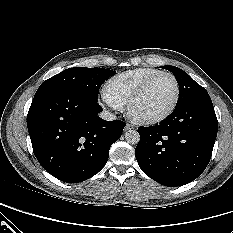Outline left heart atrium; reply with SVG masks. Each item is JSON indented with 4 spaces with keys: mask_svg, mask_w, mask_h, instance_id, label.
Listing matches in <instances>:
<instances>
[{
    "mask_svg": "<svg viewBox=\"0 0 233 233\" xmlns=\"http://www.w3.org/2000/svg\"><path fill=\"white\" fill-rule=\"evenodd\" d=\"M138 117H137V115H134L133 117H132V119H134V120H136Z\"/></svg>",
    "mask_w": 233,
    "mask_h": 233,
    "instance_id": "1",
    "label": "left heart atrium"
}]
</instances>
